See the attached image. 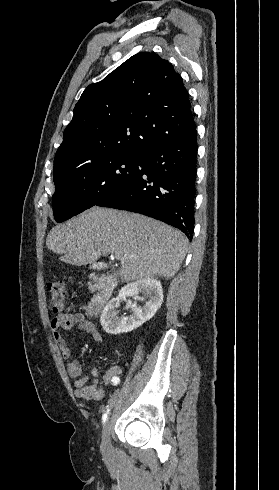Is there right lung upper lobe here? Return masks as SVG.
<instances>
[{"label": "right lung upper lobe", "mask_w": 279, "mask_h": 490, "mask_svg": "<svg viewBox=\"0 0 279 490\" xmlns=\"http://www.w3.org/2000/svg\"><path fill=\"white\" fill-rule=\"evenodd\" d=\"M189 95L173 66L141 52L89 85L54 159V177L106 154L145 157L196 130Z\"/></svg>", "instance_id": "right-lung-upper-lobe-1"}]
</instances>
